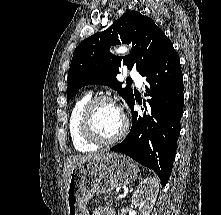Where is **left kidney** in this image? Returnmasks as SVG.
I'll return each mask as SVG.
<instances>
[{"label": "left kidney", "instance_id": "left-kidney-1", "mask_svg": "<svg viewBox=\"0 0 221 215\" xmlns=\"http://www.w3.org/2000/svg\"><path fill=\"white\" fill-rule=\"evenodd\" d=\"M159 191V182L154 177L142 180L134 192L131 203L141 209L142 215H150Z\"/></svg>", "mask_w": 221, "mask_h": 215}]
</instances>
